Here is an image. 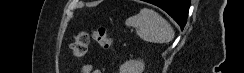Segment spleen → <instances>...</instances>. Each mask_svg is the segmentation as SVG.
Here are the masks:
<instances>
[{
  "mask_svg": "<svg viewBox=\"0 0 244 73\" xmlns=\"http://www.w3.org/2000/svg\"><path fill=\"white\" fill-rule=\"evenodd\" d=\"M127 27H134L136 34L146 42L169 43L174 38V30L170 23L156 11L148 8L125 21Z\"/></svg>",
  "mask_w": 244,
  "mask_h": 73,
  "instance_id": "obj_1",
  "label": "spleen"
}]
</instances>
